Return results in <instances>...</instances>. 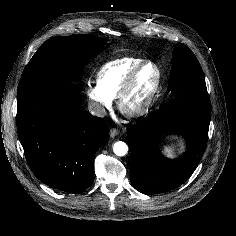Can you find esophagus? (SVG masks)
Listing matches in <instances>:
<instances>
[{
	"label": "esophagus",
	"mask_w": 236,
	"mask_h": 236,
	"mask_svg": "<svg viewBox=\"0 0 236 236\" xmlns=\"http://www.w3.org/2000/svg\"><path fill=\"white\" fill-rule=\"evenodd\" d=\"M118 133H119V131H118L117 129H115V128H111V129H110V136H111V137L117 136Z\"/></svg>",
	"instance_id": "obj_1"
}]
</instances>
